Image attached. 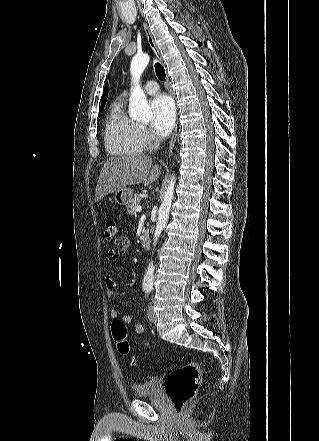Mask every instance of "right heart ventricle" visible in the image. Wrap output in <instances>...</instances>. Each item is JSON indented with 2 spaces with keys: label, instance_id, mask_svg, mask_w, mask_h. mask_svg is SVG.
I'll list each match as a JSON object with an SVG mask.
<instances>
[{
  "label": "right heart ventricle",
  "instance_id": "e07e8e85",
  "mask_svg": "<svg viewBox=\"0 0 319 441\" xmlns=\"http://www.w3.org/2000/svg\"><path fill=\"white\" fill-rule=\"evenodd\" d=\"M104 140L107 152L113 156H135L144 150L139 124L124 113L121 101L115 102L108 112Z\"/></svg>",
  "mask_w": 319,
  "mask_h": 441
}]
</instances>
